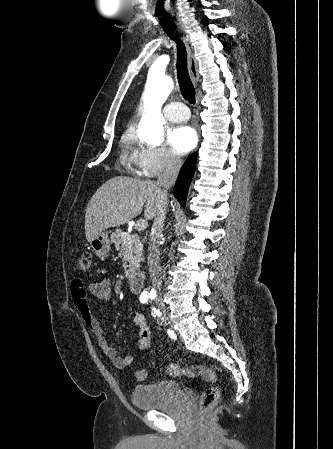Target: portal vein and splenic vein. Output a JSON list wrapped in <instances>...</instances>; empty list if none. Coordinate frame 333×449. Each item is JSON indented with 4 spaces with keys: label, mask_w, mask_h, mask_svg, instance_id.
Instances as JSON below:
<instances>
[{
    "label": "portal vein and splenic vein",
    "mask_w": 333,
    "mask_h": 449,
    "mask_svg": "<svg viewBox=\"0 0 333 449\" xmlns=\"http://www.w3.org/2000/svg\"><path fill=\"white\" fill-rule=\"evenodd\" d=\"M147 221L146 220H139L137 221V223L135 224V227L138 230H144L145 228H147Z\"/></svg>",
    "instance_id": "1"
}]
</instances>
